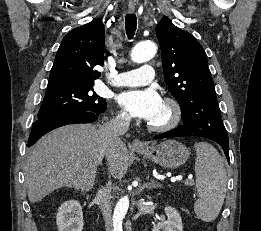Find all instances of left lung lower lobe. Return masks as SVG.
Segmentation results:
<instances>
[{"mask_svg":"<svg viewBox=\"0 0 261 231\" xmlns=\"http://www.w3.org/2000/svg\"><path fill=\"white\" fill-rule=\"evenodd\" d=\"M185 136H198V137L209 138V136H206L205 134H203L199 130L195 129L194 127L185 124V125H182V126L175 128V129H172L168 132L157 135V136L154 137V139H163V138H172V137H185ZM209 139L214 140L215 142H217L218 144H220L222 146V148L224 149V153L226 155V158L229 162L228 139H225V138H209Z\"/></svg>","mask_w":261,"mask_h":231,"instance_id":"left-lung-lower-lobe-1","label":"left lung lower lobe"}]
</instances>
